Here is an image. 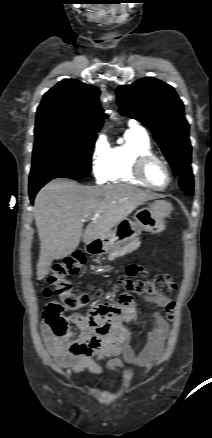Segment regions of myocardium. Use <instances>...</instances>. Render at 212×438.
I'll list each match as a JSON object with an SVG mask.
<instances>
[{"label": "myocardium", "instance_id": "myocardium-1", "mask_svg": "<svg viewBox=\"0 0 212 438\" xmlns=\"http://www.w3.org/2000/svg\"><path fill=\"white\" fill-rule=\"evenodd\" d=\"M154 161L159 162L164 167L168 175V182L163 187H156L155 185L150 183L146 178V169L148 165ZM132 173L135 176V178L139 180L144 186L157 191L166 190L171 185L173 179L169 164L163 158L155 154H143L138 156L134 162Z\"/></svg>", "mask_w": 212, "mask_h": 438}]
</instances>
